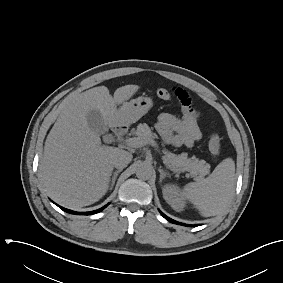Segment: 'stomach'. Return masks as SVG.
Returning a JSON list of instances; mask_svg holds the SVG:
<instances>
[{
  "label": "stomach",
  "instance_id": "1",
  "mask_svg": "<svg viewBox=\"0 0 283 283\" xmlns=\"http://www.w3.org/2000/svg\"><path fill=\"white\" fill-rule=\"evenodd\" d=\"M153 106L152 98L140 96L125 102L118 110L119 122L131 124L138 121L144 116Z\"/></svg>",
  "mask_w": 283,
  "mask_h": 283
}]
</instances>
